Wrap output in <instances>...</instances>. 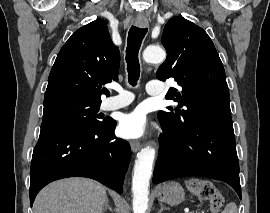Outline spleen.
Listing matches in <instances>:
<instances>
[{
    "instance_id": "1",
    "label": "spleen",
    "mask_w": 270,
    "mask_h": 213,
    "mask_svg": "<svg viewBox=\"0 0 270 213\" xmlns=\"http://www.w3.org/2000/svg\"><path fill=\"white\" fill-rule=\"evenodd\" d=\"M222 213H237V206L235 203L228 204Z\"/></svg>"
}]
</instances>
